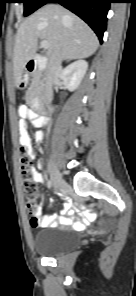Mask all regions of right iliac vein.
Masks as SVG:
<instances>
[{
  "label": "right iliac vein",
  "instance_id": "63e3f726",
  "mask_svg": "<svg viewBox=\"0 0 136 296\" xmlns=\"http://www.w3.org/2000/svg\"><path fill=\"white\" fill-rule=\"evenodd\" d=\"M48 168L51 176L52 185L55 191L61 188H67L66 182L62 179L61 174L57 166L50 160L48 163Z\"/></svg>",
  "mask_w": 136,
  "mask_h": 296
}]
</instances>
